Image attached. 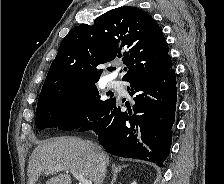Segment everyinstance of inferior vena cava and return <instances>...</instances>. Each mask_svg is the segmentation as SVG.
<instances>
[{"label": "inferior vena cava", "instance_id": "602c4592", "mask_svg": "<svg viewBox=\"0 0 224 184\" xmlns=\"http://www.w3.org/2000/svg\"><path fill=\"white\" fill-rule=\"evenodd\" d=\"M92 147L95 150L96 157L99 162V172H100V178H101V182H102L103 179L105 178L107 162H106V159H105V156L103 154L101 147L94 143L92 144Z\"/></svg>", "mask_w": 224, "mask_h": 184}]
</instances>
